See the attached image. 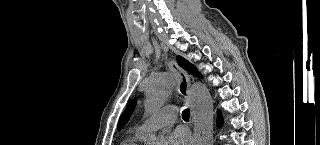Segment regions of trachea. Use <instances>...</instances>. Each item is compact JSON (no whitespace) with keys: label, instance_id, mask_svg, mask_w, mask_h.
<instances>
[{"label":"trachea","instance_id":"1","mask_svg":"<svg viewBox=\"0 0 320 145\" xmlns=\"http://www.w3.org/2000/svg\"><path fill=\"white\" fill-rule=\"evenodd\" d=\"M189 116H190L189 110L188 109L183 110V112H182L183 119L188 120Z\"/></svg>","mask_w":320,"mask_h":145}]
</instances>
